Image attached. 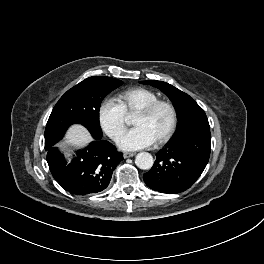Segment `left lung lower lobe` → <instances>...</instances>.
Returning a JSON list of instances; mask_svg holds the SVG:
<instances>
[{"label": "left lung lower lobe", "instance_id": "0a47b994", "mask_svg": "<svg viewBox=\"0 0 264 264\" xmlns=\"http://www.w3.org/2000/svg\"><path fill=\"white\" fill-rule=\"evenodd\" d=\"M211 150L210 131L198 132L179 141H170L156 155L144 182L155 191L177 194L190 188L205 169Z\"/></svg>", "mask_w": 264, "mask_h": 264}]
</instances>
